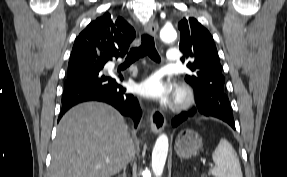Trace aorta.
Masks as SVG:
<instances>
[{"instance_id":"1","label":"aorta","mask_w":287,"mask_h":177,"mask_svg":"<svg viewBox=\"0 0 287 177\" xmlns=\"http://www.w3.org/2000/svg\"><path fill=\"white\" fill-rule=\"evenodd\" d=\"M177 37L176 31L172 27H164L160 31V38L164 42H171ZM169 148V140L166 134H161L154 145L152 151V170L156 177L163 173Z\"/></svg>"}]
</instances>
